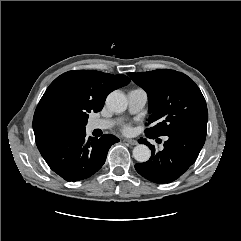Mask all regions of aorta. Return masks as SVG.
Here are the masks:
<instances>
[{"mask_svg": "<svg viewBox=\"0 0 241 241\" xmlns=\"http://www.w3.org/2000/svg\"><path fill=\"white\" fill-rule=\"evenodd\" d=\"M106 105L114 113H122L127 108V99L121 92H111L107 99ZM151 156V151L148 146L139 144L133 149V157L138 162H146Z\"/></svg>", "mask_w": 241, "mask_h": 241, "instance_id": "obj_1", "label": "aorta"}]
</instances>
